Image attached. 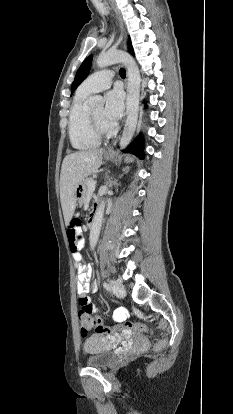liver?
<instances>
[{"mask_svg": "<svg viewBox=\"0 0 233 414\" xmlns=\"http://www.w3.org/2000/svg\"><path fill=\"white\" fill-rule=\"evenodd\" d=\"M103 152V149L92 148L71 153L64 158L60 174V200L66 225L74 214L77 187L99 169Z\"/></svg>", "mask_w": 233, "mask_h": 414, "instance_id": "obj_1", "label": "liver"}]
</instances>
